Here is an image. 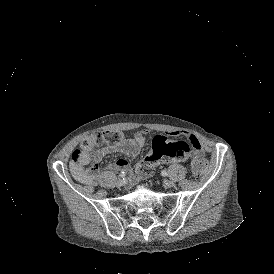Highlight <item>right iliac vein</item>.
<instances>
[{
    "mask_svg": "<svg viewBox=\"0 0 274 274\" xmlns=\"http://www.w3.org/2000/svg\"><path fill=\"white\" fill-rule=\"evenodd\" d=\"M122 179H118L117 181H116V186L117 187H121L122 186Z\"/></svg>",
    "mask_w": 274,
    "mask_h": 274,
    "instance_id": "1",
    "label": "right iliac vein"
}]
</instances>
